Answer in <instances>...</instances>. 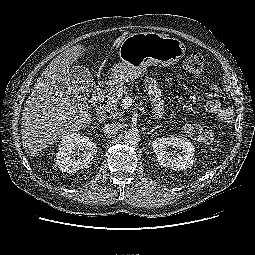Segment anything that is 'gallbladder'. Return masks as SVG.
<instances>
[{"label": "gallbladder", "mask_w": 255, "mask_h": 255, "mask_svg": "<svg viewBox=\"0 0 255 255\" xmlns=\"http://www.w3.org/2000/svg\"><path fill=\"white\" fill-rule=\"evenodd\" d=\"M72 86L83 97L90 96L95 90V82L90 71L84 66H73L70 71Z\"/></svg>", "instance_id": "1"}]
</instances>
